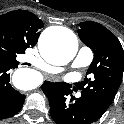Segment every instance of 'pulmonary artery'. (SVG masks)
<instances>
[{"instance_id": "1", "label": "pulmonary artery", "mask_w": 124, "mask_h": 124, "mask_svg": "<svg viewBox=\"0 0 124 124\" xmlns=\"http://www.w3.org/2000/svg\"><path fill=\"white\" fill-rule=\"evenodd\" d=\"M93 57H94V54L91 48L83 46L79 49L72 65L73 67H77V68L86 67L90 65V63L93 60ZM24 59L25 61L32 63L35 67L50 73H59L61 71V68L48 65L47 63L33 56L27 55L24 57Z\"/></svg>"}]
</instances>
